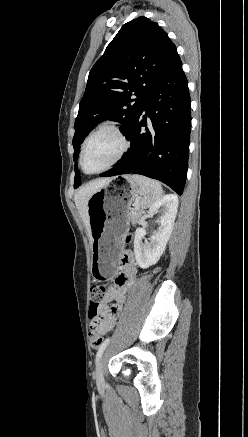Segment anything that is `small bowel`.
I'll list each match as a JSON object with an SVG mask.
<instances>
[{"label": "small bowel", "mask_w": 248, "mask_h": 437, "mask_svg": "<svg viewBox=\"0 0 248 437\" xmlns=\"http://www.w3.org/2000/svg\"><path fill=\"white\" fill-rule=\"evenodd\" d=\"M136 272L133 253L125 251L122 255V272L115 279V283L107 288L99 309L100 319L97 329L101 334H107L115 326L125 303L126 291L135 284ZM108 303L112 304L107 305Z\"/></svg>", "instance_id": "1"}]
</instances>
